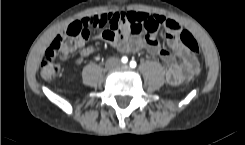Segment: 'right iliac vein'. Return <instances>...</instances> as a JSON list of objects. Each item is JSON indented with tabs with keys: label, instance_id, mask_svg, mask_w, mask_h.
<instances>
[{
	"label": "right iliac vein",
	"instance_id": "63e3f726",
	"mask_svg": "<svg viewBox=\"0 0 245 145\" xmlns=\"http://www.w3.org/2000/svg\"><path fill=\"white\" fill-rule=\"evenodd\" d=\"M116 65H117V61L114 60V61L110 64V67L113 68V67H115Z\"/></svg>",
	"mask_w": 245,
	"mask_h": 145
}]
</instances>
